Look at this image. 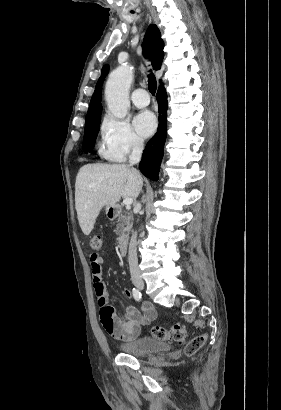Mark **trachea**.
Segmentation results:
<instances>
[{"label": "trachea", "instance_id": "obj_1", "mask_svg": "<svg viewBox=\"0 0 281 410\" xmlns=\"http://www.w3.org/2000/svg\"><path fill=\"white\" fill-rule=\"evenodd\" d=\"M157 88V83H156V78L155 76L151 73L148 75V89L150 93L154 96Z\"/></svg>", "mask_w": 281, "mask_h": 410}]
</instances>
